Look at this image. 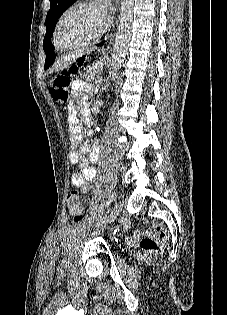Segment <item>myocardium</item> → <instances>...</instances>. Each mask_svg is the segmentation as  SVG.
<instances>
[{"label":"myocardium","mask_w":227,"mask_h":315,"mask_svg":"<svg viewBox=\"0 0 227 315\" xmlns=\"http://www.w3.org/2000/svg\"><path fill=\"white\" fill-rule=\"evenodd\" d=\"M82 7H94L99 9L104 16V22L103 24L100 26V28L97 30V32H95L93 35L89 36L88 38L69 45V46H60L57 42V37H58V32L60 29V26L64 20V18L73 10L77 9V8H82ZM110 19L108 17V15L106 14V12L103 10L99 0H80L76 3H73L72 5H70L69 7H67L59 16V18L57 19V22L55 24L54 30H53V36H52V43L54 45V47L60 51H68V50H72V49H76L79 47H82L84 45H87L93 41H95L96 39H98L107 29L108 25H109Z\"/></svg>","instance_id":"f54148a6"}]
</instances>
